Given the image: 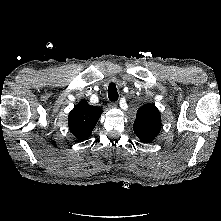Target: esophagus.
Here are the masks:
<instances>
[{
  "mask_svg": "<svg viewBox=\"0 0 221 221\" xmlns=\"http://www.w3.org/2000/svg\"><path fill=\"white\" fill-rule=\"evenodd\" d=\"M109 106L111 108H115V107H117V103L116 102H111Z\"/></svg>",
  "mask_w": 221,
  "mask_h": 221,
  "instance_id": "34e87169",
  "label": "esophagus"
}]
</instances>
